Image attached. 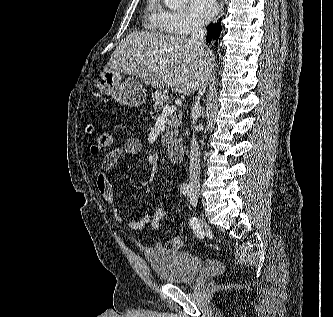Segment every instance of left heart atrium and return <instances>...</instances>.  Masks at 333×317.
I'll use <instances>...</instances> for the list:
<instances>
[{
	"instance_id": "1",
	"label": "left heart atrium",
	"mask_w": 333,
	"mask_h": 317,
	"mask_svg": "<svg viewBox=\"0 0 333 317\" xmlns=\"http://www.w3.org/2000/svg\"><path fill=\"white\" fill-rule=\"evenodd\" d=\"M218 10L215 0H190L189 12L197 23H204L212 18Z\"/></svg>"
}]
</instances>
